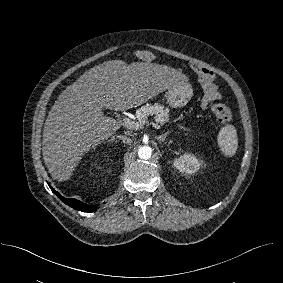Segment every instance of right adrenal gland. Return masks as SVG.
Returning a JSON list of instances; mask_svg holds the SVG:
<instances>
[{
  "mask_svg": "<svg viewBox=\"0 0 283 283\" xmlns=\"http://www.w3.org/2000/svg\"><path fill=\"white\" fill-rule=\"evenodd\" d=\"M110 141H115V139L113 138V139H111Z\"/></svg>",
  "mask_w": 283,
  "mask_h": 283,
  "instance_id": "right-adrenal-gland-1",
  "label": "right adrenal gland"
}]
</instances>
